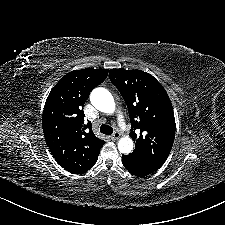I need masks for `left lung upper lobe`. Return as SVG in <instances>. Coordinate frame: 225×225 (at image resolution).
<instances>
[{
    "mask_svg": "<svg viewBox=\"0 0 225 225\" xmlns=\"http://www.w3.org/2000/svg\"><path fill=\"white\" fill-rule=\"evenodd\" d=\"M109 78L128 106L129 135L136 141L129 157L145 165L161 167L172 149L176 128L167 92L155 77L141 70L111 69ZM133 128L140 129L139 136Z\"/></svg>",
    "mask_w": 225,
    "mask_h": 225,
    "instance_id": "5c2ea615",
    "label": "left lung upper lobe"
}]
</instances>
